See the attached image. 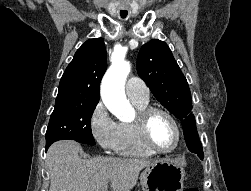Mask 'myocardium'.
<instances>
[{
	"mask_svg": "<svg viewBox=\"0 0 251 191\" xmlns=\"http://www.w3.org/2000/svg\"><path fill=\"white\" fill-rule=\"evenodd\" d=\"M157 113H162V114L166 115L167 117H169L176 128V131L178 134V144H177L176 148L170 152L160 151L159 149H157L155 147V145L151 141L150 123H151L153 116ZM134 123L136 124V126L138 128L140 138L143 141L144 145L156 155H161V156L174 155L183 146L184 134H183V130L181 128V125H180L179 121L177 120L176 116L172 112H170L169 110H167L165 108L153 107V106L141 108V109H139L138 117Z\"/></svg>",
	"mask_w": 251,
	"mask_h": 191,
	"instance_id": "myocardium-1",
	"label": "myocardium"
}]
</instances>
